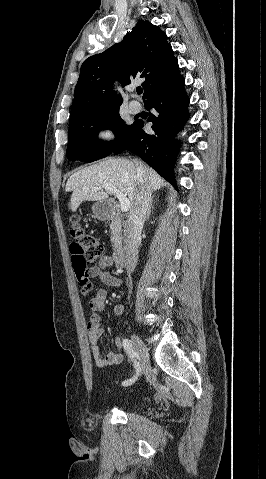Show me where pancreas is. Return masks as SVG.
I'll return each instance as SVG.
<instances>
[{
	"mask_svg": "<svg viewBox=\"0 0 266 479\" xmlns=\"http://www.w3.org/2000/svg\"><path fill=\"white\" fill-rule=\"evenodd\" d=\"M111 229V242L115 252L121 248L122 235H121V223L119 220H114L110 226Z\"/></svg>",
	"mask_w": 266,
	"mask_h": 479,
	"instance_id": "pancreas-1",
	"label": "pancreas"
}]
</instances>
